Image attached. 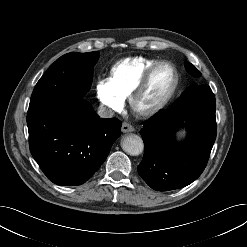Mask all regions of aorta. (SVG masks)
I'll use <instances>...</instances> for the list:
<instances>
[{"mask_svg":"<svg viewBox=\"0 0 247 247\" xmlns=\"http://www.w3.org/2000/svg\"><path fill=\"white\" fill-rule=\"evenodd\" d=\"M121 147L127 154L137 156L143 152L144 143L140 136L129 134L122 138Z\"/></svg>","mask_w":247,"mask_h":247,"instance_id":"aorta-1","label":"aorta"}]
</instances>
